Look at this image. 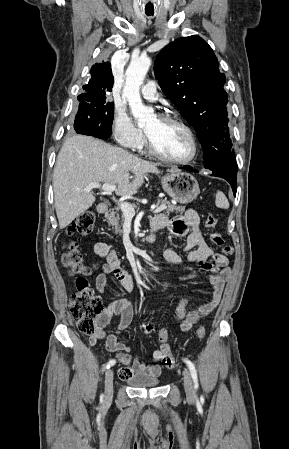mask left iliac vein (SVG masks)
Listing matches in <instances>:
<instances>
[{
	"instance_id": "4c4485c4",
	"label": "left iliac vein",
	"mask_w": 289,
	"mask_h": 449,
	"mask_svg": "<svg viewBox=\"0 0 289 449\" xmlns=\"http://www.w3.org/2000/svg\"><path fill=\"white\" fill-rule=\"evenodd\" d=\"M183 382H184V389L188 397L193 398L194 397V389H193V383L191 376L188 372V370L183 371Z\"/></svg>"
}]
</instances>
